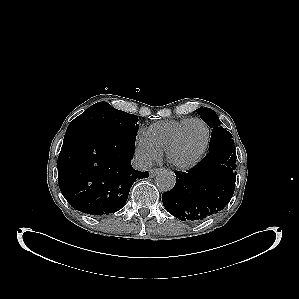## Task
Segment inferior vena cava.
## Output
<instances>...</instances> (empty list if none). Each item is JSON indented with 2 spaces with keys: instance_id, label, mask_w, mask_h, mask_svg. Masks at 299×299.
Masks as SVG:
<instances>
[{
  "instance_id": "inferior-vena-cava-1",
  "label": "inferior vena cava",
  "mask_w": 299,
  "mask_h": 299,
  "mask_svg": "<svg viewBox=\"0 0 299 299\" xmlns=\"http://www.w3.org/2000/svg\"><path fill=\"white\" fill-rule=\"evenodd\" d=\"M150 165L151 161L145 156L136 155L132 159V166L136 170L145 171Z\"/></svg>"
}]
</instances>
